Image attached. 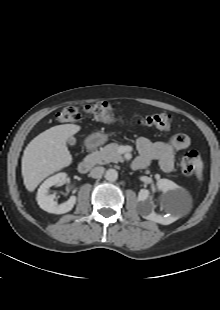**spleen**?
Instances as JSON below:
<instances>
[{"label": "spleen", "mask_w": 220, "mask_h": 310, "mask_svg": "<svg viewBox=\"0 0 220 310\" xmlns=\"http://www.w3.org/2000/svg\"><path fill=\"white\" fill-rule=\"evenodd\" d=\"M196 175H197L199 180L202 179V166H201L200 162H198V164H197Z\"/></svg>", "instance_id": "spleen-1"}]
</instances>
